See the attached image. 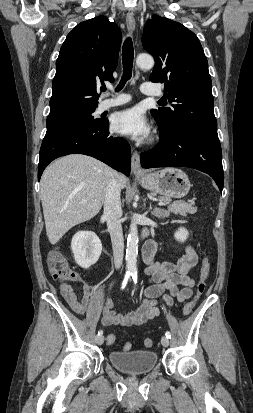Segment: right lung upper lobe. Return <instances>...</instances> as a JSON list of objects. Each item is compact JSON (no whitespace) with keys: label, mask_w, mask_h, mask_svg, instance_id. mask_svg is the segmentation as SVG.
Wrapping results in <instances>:
<instances>
[{"label":"right lung upper lobe","mask_w":253,"mask_h":413,"mask_svg":"<svg viewBox=\"0 0 253 413\" xmlns=\"http://www.w3.org/2000/svg\"><path fill=\"white\" fill-rule=\"evenodd\" d=\"M121 38L119 27L105 16L81 22L67 35L56 61L48 116L98 106L99 85L114 80Z\"/></svg>","instance_id":"obj_1"}]
</instances>
